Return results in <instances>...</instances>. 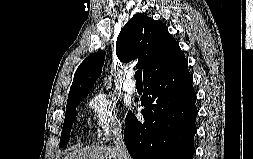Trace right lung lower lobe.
<instances>
[{"label": "right lung lower lobe", "mask_w": 253, "mask_h": 159, "mask_svg": "<svg viewBox=\"0 0 253 159\" xmlns=\"http://www.w3.org/2000/svg\"><path fill=\"white\" fill-rule=\"evenodd\" d=\"M188 63L144 82L145 121L127 114L124 139L133 159H193L198 111Z\"/></svg>", "instance_id": "obj_1"}]
</instances>
